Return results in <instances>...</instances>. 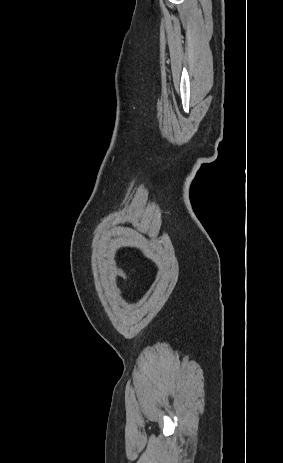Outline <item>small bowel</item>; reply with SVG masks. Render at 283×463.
<instances>
[{
  "label": "small bowel",
  "instance_id": "c3829d8e",
  "mask_svg": "<svg viewBox=\"0 0 283 463\" xmlns=\"http://www.w3.org/2000/svg\"><path fill=\"white\" fill-rule=\"evenodd\" d=\"M116 276L122 278V279H127L128 278V275L125 271H123L122 269H117L116 270ZM111 285H112V288L114 289L115 292H119L116 284L114 281H111Z\"/></svg>",
  "mask_w": 283,
  "mask_h": 463
}]
</instances>
